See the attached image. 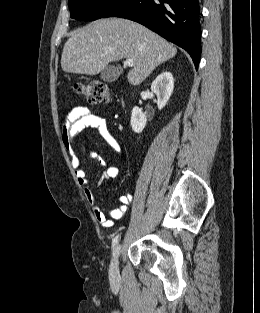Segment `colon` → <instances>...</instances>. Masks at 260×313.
I'll return each instance as SVG.
<instances>
[{"instance_id":"5ec220e1","label":"colon","mask_w":260,"mask_h":313,"mask_svg":"<svg viewBox=\"0 0 260 313\" xmlns=\"http://www.w3.org/2000/svg\"><path fill=\"white\" fill-rule=\"evenodd\" d=\"M73 91L91 104H101L110 99L107 85L99 81H83L73 85Z\"/></svg>"}]
</instances>
